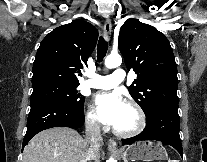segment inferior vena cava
I'll list each match as a JSON object with an SVG mask.
<instances>
[{"instance_id":"inferior-vena-cava-1","label":"inferior vena cava","mask_w":207,"mask_h":162,"mask_svg":"<svg viewBox=\"0 0 207 162\" xmlns=\"http://www.w3.org/2000/svg\"><path fill=\"white\" fill-rule=\"evenodd\" d=\"M85 141L89 145L86 160H95L99 152L100 147L103 144V138L101 136L100 124L94 119H87L85 126Z\"/></svg>"}]
</instances>
